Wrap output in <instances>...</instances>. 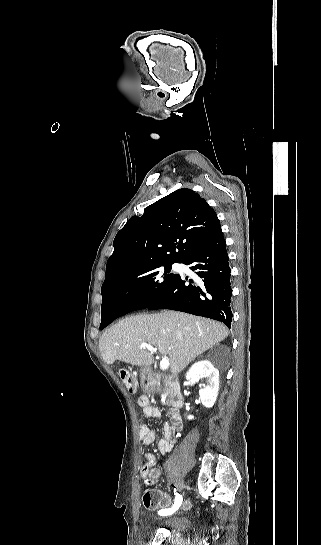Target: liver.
Segmentation results:
<instances>
[{"label":"liver","mask_w":321,"mask_h":545,"mask_svg":"<svg viewBox=\"0 0 321 545\" xmlns=\"http://www.w3.org/2000/svg\"><path fill=\"white\" fill-rule=\"evenodd\" d=\"M228 329L221 323L193 317L186 313L161 311L154 315H132L104 331L99 339V351L107 365L124 361L137 367H150L153 355L140 349L148 343L160 355H168L173 375L181 373L198 355L228 337Z\"/></svg>","instance_id":"liver-1"}]
</instances>
